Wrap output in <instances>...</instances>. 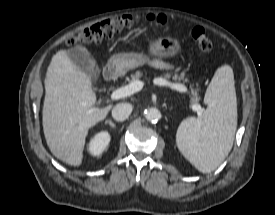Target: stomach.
Returning a JSON list of instances; mask_svg holds the SVG:
<instances>
[{"label": "stomach", "instance_id": "0dacf381", "mask_svg": "<svg viewBox=\"0 0 275 215\" xmlns=\"http://www.w3.org/2000/svg\"><path fill=\"white\" fill-rule=\"evenodd\" d=\"M181 51L180 43L173 38L165 37L156 41L152 47V55L158 58L175 56ZM151 61V57L143 54L119 53L113 55L107 64V71L115 76L124 75L127 71L135 69Z\"/></svg>", "mask_w": 275, "mask_h": 215}]
</instances>
